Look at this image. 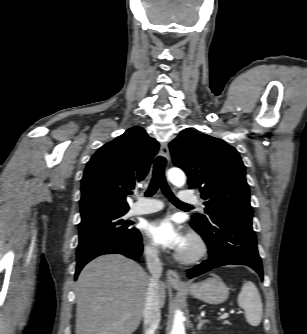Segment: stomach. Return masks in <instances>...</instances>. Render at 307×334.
<instances>
[{
  "mask_svg": "<svg viewBox=\"0 0 307 334\" xmlns=\"http://www.w3.org/2000/svg\"><path fill=\"white\" fill-rule=\"evenodd\" d=\"M186 292L208 304H221L228 299L229 288L218 276H212L200 283H193Z\"/></svg>",
  "mask_w": 307,
  "mask_h": 334,
  "instance_id": "1",
  "label": "stomach"
}]
</instances>
